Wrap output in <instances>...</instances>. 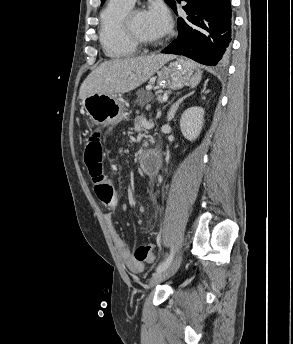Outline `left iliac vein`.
Returning a JSON list of instances; mask_svg holds the SVG:
<instances>
[{"label": "left iliac vein", "mask_w": 293, "mask_h": 344, "mask_svg": "<svg viewBox=\"0 0 293 344\" xmlns=\"http://www.w3.org/2000/svg\"><path fill=\"white\" fill-rule=\"evenodd\" d=\"M181 259L182 257L179 256L172 265H170L169 267H167L166 269H164L163 271L157 272L155 273L149 280V285L148 288H152L154 286H156L157 284L161 283L162 281L168 279L169 277H171L172 275H174L181 263Z\"/></svg>", "instance_id": "left-iliac-vein-1"}]
</instances>
